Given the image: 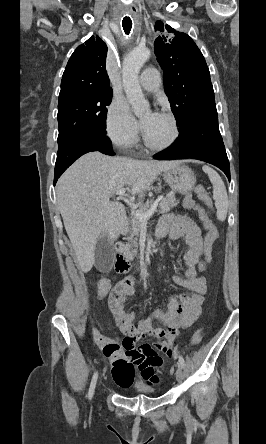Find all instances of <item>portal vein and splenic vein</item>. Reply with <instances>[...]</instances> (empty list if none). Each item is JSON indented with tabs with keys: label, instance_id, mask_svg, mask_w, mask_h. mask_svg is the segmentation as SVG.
Instances as JSON below:
<instances>
[{
	"label": "portal vein and splenic vein",
	"instance_id": "18ae733b",
	"mask_svg": "<svg viewBox=\"0 0 266 444\" xmlns=\"http://www.w3.org/2000/svg\"><path fill=\"white\" fill-rule=\"evenodd\" d=\"M125 192H126V188H122L116 192V195L119 198H122V196L125 194ZM161 199H162V196H159L158 199H156V201L151 205L150 209H148L147 211L135 210V207H132V212L140 220H147L156 211L158 203L160 202Z\"/></svg>",
	"mask_w": 266,
	"mask_h": 444
}]
</instances>
